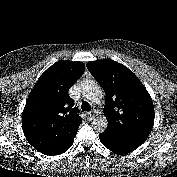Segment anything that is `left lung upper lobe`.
<instances>
[{
  "label": "left lung upper lobe",
  "instance_id": "5c2ea615",
  "mask_svg": "<svg viewBox=\"0 0 177 177\" xmlns=\"http://www.w3.org/2000/svg\"><path fill=\"white\" fill-rule=\"evenodd\" d=\"M89 71L106 93L109 129L102 136L119 146L140 144L154 122V107L147 91L129 69L117 62L93 63Z\"/></svg>",
  "mask_w": 177,
  "mask_h": 177
}]
</instances>
